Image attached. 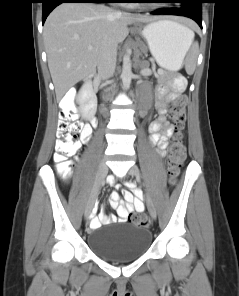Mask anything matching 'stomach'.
<instances>
[{"label": "stomach", "mask_w": 239, "mask_h": 296, "mask_svg": "<svg viewBox=\"0 0 239 296\" xmlns=\"http://www.w3.org/2000/svg\"><path fill=\"white\" fill-rule=\"evenodd\" d=\"M158 65L167 71L180 69L191 44L188 28L162 19L138 27Z\"/></svg>", "instance_id": "1"}]
</instances>
